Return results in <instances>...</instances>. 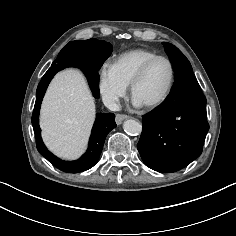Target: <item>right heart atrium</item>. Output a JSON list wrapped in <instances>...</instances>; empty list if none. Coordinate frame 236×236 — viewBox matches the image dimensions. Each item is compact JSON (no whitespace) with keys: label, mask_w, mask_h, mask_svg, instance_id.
Listing matches in <instances>:
<instances>
[{"label":"right heart atrium","mask_w":236,"mask_h":236,"mask_svg":"<svg viewBox=\"0 0 236 236\" xmlns=\"http://www.w3.org/2000/svg\"><path fill=\"white\" fill-rule=\"evenodd\" d=\"M98 89L104 102L112 106L126 95L128 86L121 81L112 65L105 64L98 73Z\"/></svg>","instance_id":"1"}]
</instances>
